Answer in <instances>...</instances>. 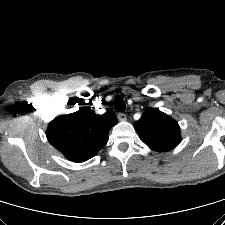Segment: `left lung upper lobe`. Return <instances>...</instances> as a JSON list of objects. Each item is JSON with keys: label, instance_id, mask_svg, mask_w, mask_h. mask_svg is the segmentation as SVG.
Here are the masks:
<instances>
[{"label": "left lung upper lobe", "instance_id": "1", "mask_svg": "<svg viewBox=\"0 0 225 225\" xmlns=\"http://www.w3.org/2000/svg\"><path fill=\"white\" fill-rule=\"evenodd\" d=\"M141 140L152 150L166 152L181 141L178 123L158 109H148L134 123Z\"/></svg>", "mask_w": 225, "mask_h": 225}]
</instances>
